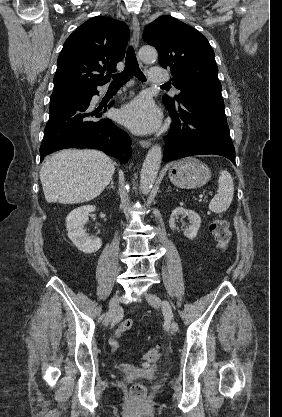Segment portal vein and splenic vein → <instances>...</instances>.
I'll list each match as a JSON object with an SVG mask.
<instances>
[{
  "label": "portal vein and splenic vein",
  "instance_id": "1",
  "mask_svg": "<svg viewBox=\"0 0 282 417\" xmlns=\"http://www.w3.org/2000/svg\"><path fill=\"white\" fill-rule=\"evenodd\" d=\"M208 196H210L211 198H214V193L210 192V193H208Z\"/></svg>",
  "mask_w": 282,
  "mask_h": 417
}]
</instances>
